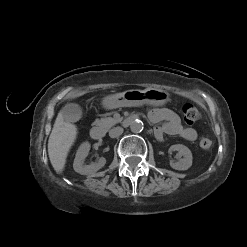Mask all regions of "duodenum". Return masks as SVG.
Listing matches in <instances>:
<instances>
[{
	"label": "duodenum",
	"mask_w": 247,
	"mask_h": 247,
	"mask_svg": "<svg viewBox=\"0 0 247 247\" xmlns=\"http://www.w3.org/2000/svg\"><path fill=\"white\" fill-rule=\"evenodd\" d=\"M133 117H128L124 120L123 124L129 126L133 122ZM105 135V130L101 126H93L90 130V136L94 140H101Z\"/></svg>",
	"instance_id": "410a0bca"
}]
</instances>
